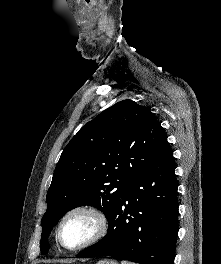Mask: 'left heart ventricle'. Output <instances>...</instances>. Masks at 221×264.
<instances>
[{
    "label": "left heart ventricle",
    "mask_w": 221,
    "mask_h": 264,
    "mask_svg": "<svg viewBox=\"0 0 221 264\" xmlns=\"http://www.w3.org/2000/svg\"><path fill=\"white\" fill-rule=\"evenodd\" d=\"M96 229L95 221L86 214H75L64 224L63 242L70 247L78 246L92 237Z\"/></svg>",
    "instance_id": "b2bd125f"
}]
</instances>
